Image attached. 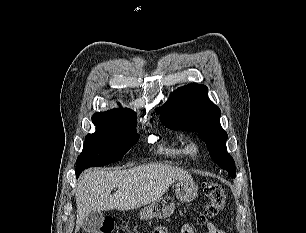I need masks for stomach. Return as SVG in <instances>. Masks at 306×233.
<instances>
[{
    "label": "stomach",
    "instance_id": "1",
    "mask_svg": "<svg viewBox=\"0 0 306 233\" xmlns=\"http://www.w3.org/2000/svg\"><path fill=\"white\" fill-rule=\"evenodd\" d=\"M197 190L198 187L192 178L179 180L175 187L176 198L183 203L190 202L196 198ZM174 210V200L170 196H164L143 208L140 216L143 220L163 219L171 216Z\"/></svg>",
    "mask_w": 306,
    "mask_h": 233
}]
</instances>
